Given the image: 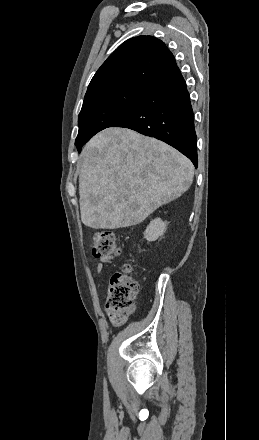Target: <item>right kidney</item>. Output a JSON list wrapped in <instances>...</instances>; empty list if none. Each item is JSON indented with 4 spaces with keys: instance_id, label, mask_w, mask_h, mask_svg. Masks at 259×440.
<instances>
[{
    "instance_id": "obj_1",
    "label": "right kidney",
    "mask_w": 259,
    "mask_h": 440,
    "mask_svg": "<svg viewBox=\"0 0 259 440\" xmlns=\"http://www.w3.org/2000/svg\"><path fill=\"white\" fill-rule=\"evenodd\" d=\"M167 224L168 222L160 218L152 220L144 232V238L149 242L156 241L165 233Z\"/></svg>"
}]
</instances>
